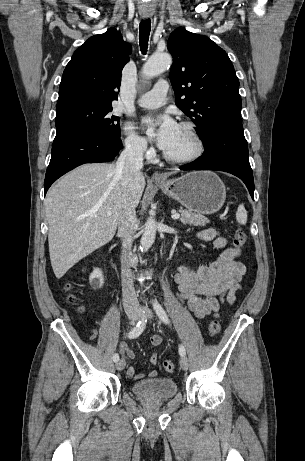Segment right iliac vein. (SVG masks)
Returning <instances> with one entry per match:
<instances>
[{
  "label": "right iliac vein",
  "mask_w": 305,
  "mask_h": 461,
  "mask_svg": "<svg viewBox=\"0 0 305 461\" xmlns=\"http://www.w3.org/2000/svg\"><path fill=\"white\" fill-rule=\"evenodd\" d=\"M126 315L128 317V319L132 322V323H136L139 319V314L137 312V310L133 307H130L126 310ZM125 365H126V362L124 359H120L117 363H116V368L117 370L121 371L125 368Z\"/></svg>",
  "instance_id": "right-iliac-vein-1"
}]
</instances>
